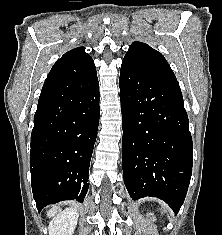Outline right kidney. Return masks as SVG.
Wrapping results in <instances>:
<instances>
[{"mask_svg": "<svg viewBox=\"0 0 222 235\" xmlns=\"http://www.w3.org/2000/svg\"><path fill=\"white\" fill-rule=\"evenodd\" d=\"M78 217V211L73 208L60 212L49 224V235H72L76 228Z\"/></svg>", "mask_w": 222, "mask_h": 235, "instance_id": "ca27d5eb", "label": "right kidney"}]
</instances>
